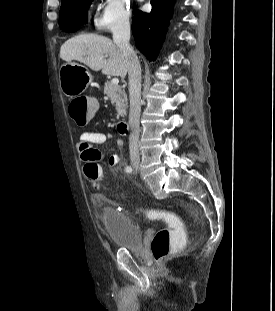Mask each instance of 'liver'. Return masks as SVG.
I'll use <instances>...</instances> for the list:
<instances>
[{
	"label": "liver",
	"mask_w": 275,
	"mask_h": 311,
	"mask_svg": "<svg viewBox=\"0 0 275 311\" xmlns=\"http://www.w3.org/2000/svg\"><path fill=\"white\" fill-rule=\"evenodd\" d=\"M60 58L84 63L93 71L102 70L105 75L125 78L129 57L111 39L89 33L80 34L65 41L60 49Z\"/></svg>",
	"instance_id": "liver-1"
}]
</instances>
